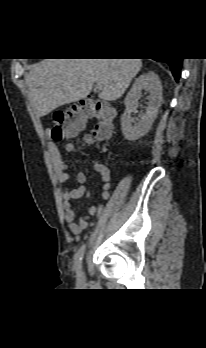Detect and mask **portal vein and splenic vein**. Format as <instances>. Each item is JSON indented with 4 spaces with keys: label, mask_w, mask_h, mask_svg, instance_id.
Listing matches in <instances>:
<instances>
[{
    "label": "portal vein and splenic vein",
    "mask_w": 206,
    "mask_h": 348,
    "mask_svg": "<svg viewBox=\"0 0 206 348\" xmlns=\"http://www.w3.org/2000/svg\"><path fill=\"white\" fill-rule=\"evenodd\" d=\"M96 88H98V89L102 88V85L100 82H96Z\"/></svg>",
    "instance_id": "1"
}]
</instances>
